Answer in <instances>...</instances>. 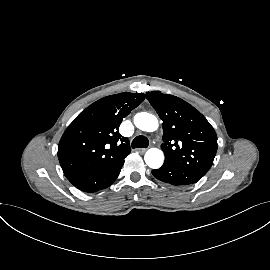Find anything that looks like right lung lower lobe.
Returning a JSON list of instances; mask_svg holds the SVG:
<instances>
[{
    "label": "right lung lower lobe",
    "mask_w": 270,
    "mask_h": 270,
    "mask_svg": "<svg viewBox=\"0 0 270 270\" xmlns=\"http://www.w3.org/2000/svg\"><path fill=\"white\" fill-rule=\"evenodd\" d=\"M124 160L116 165L70 179L69 181L79 190L84 192H96L109 187L118 177Z\"/></svg>",
    "instance_id": "98d812e1"
}]
</instances>
